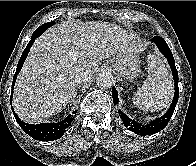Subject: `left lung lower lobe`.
<instances>
[{
  "label": "left lung lower lobe",
  "instance_id": "0a47b994",
  "mask_svg": "<svg viewBox=\"0 0 196 166\" xmlns=\"http://www.w3.org/2000/svg\"><path fill=\"white\" fill-rule=\"evenodd\" d=\"M152 41L157 45L160 52L167 58V61L171 67L173 79L175 82V92H174L173 101H172V104H171L169 110L162 117L157 118L156 120H153L149 124H145V125L140 124L137 121L130 119L121 110L118 111L125 127H127L130 131H132L138 135H142V136L157 133L166 127L171 116L173 115L175 106L178 102V96H179L178 72L176 70L175 61H174V57L172 55V52L169 49L165 40L163 38H161L160 36H154V38H152ZM112 97H113L114 103L117 104L118 103V94H117L115 87L112 88Z\"/></svg>",
  "mask_w": 196,
  "mask_h": 166
}]
</instances>
